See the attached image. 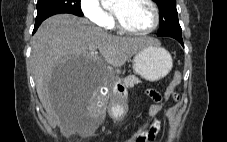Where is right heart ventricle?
<instances>
[{"instance_id": "obj_1", "label": "right heart ventricle", "mask_w": 227, "mask_h": 142, "mask_svg": "<svg viewBox=\"0 0 227 142\" xmlns=\"http://www.w3.org/2000/svg\"><path fill=\"white\" fill-rule=\"evenodd\" d=\"M108 27H109V28H113V22H112V20H111V22L109 23Z\"/></svg>"}]
</instances>
